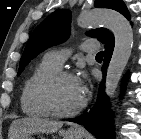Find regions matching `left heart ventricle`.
Segmentation results:
<instances>
[{
  "mask_svg": "<svg viewBox=\"0 0 141 139\" xmlns=\"http://www.w3.org/2000/svg\"><path fill=\"white\" fill-rule=\"evenodd\" d=\"M83 98L76 78H63L56 83L53 89L55 107L61 111L75 108Z\"/></svg>",
  "mask_w": 141,
  "mask_h": 139,
  "instance_id": "obj_1",
  "label": "left heart ventricle"
}]
</instances>
